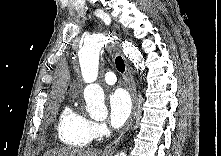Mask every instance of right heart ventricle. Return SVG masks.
Returning <instances> with one entry per match:
<instances>
[{"label": "right heart ventricle", "mask_w": 221, "mask_h": 156, "mask_svg": "<svg viewBox=\"0 0 221 156\" xmlns=\"http://www.w3.org/2000/svg\"><path fill=\"white\" fill-rule=\"evenodd\" d=\"M58 135L62 143L71 147H85L92 140L88 131V119L71 106H66L60 114Z\"/></svg>", "instance_id": "obj_1"}]
</instances>
